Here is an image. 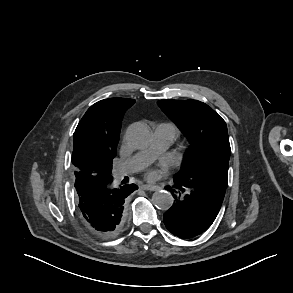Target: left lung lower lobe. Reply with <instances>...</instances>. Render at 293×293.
Wrapping results in <instances>:
<instances>
[{"mask_svg":"<svg viewBox=\"0 0 293 293\" xmlns=\"http://www.w3.org/2000/svg\"><path fill=\"white\" fill-rule=\"evenodd\" d=\"M167 190L175 200L163 216L164 224L169 232L185 239L201 234L214 222L225 195L194 181L174 180Z\"/></svg>","mask_w":293,"mask_h":293,"instance_id":"left-lung-lower-lobe-1","label":"left lung lower lobe"}]
</instances>
